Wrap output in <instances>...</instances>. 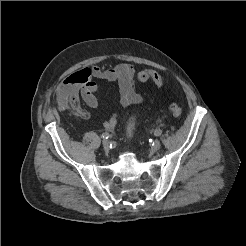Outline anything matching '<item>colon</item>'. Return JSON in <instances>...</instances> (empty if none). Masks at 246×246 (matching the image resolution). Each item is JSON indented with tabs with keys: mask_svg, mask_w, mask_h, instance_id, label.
<instances>
[{
	"mask_svg": "<svg viewBox=\"0 0 246 246\" xmlns=\"http://www.w3.org/2000/svg\"><path fill=\"white\" fill-rule=\"evenodd\" d=\"M137 79L139 82H142V83L151 81L156 86H159V87L163 85V78L161 77V75L157 73L155 70H151V69L140 70L137 73ZM169 112L173 117L177 118L182 114V107L180 104L173 102L169 106ZM133 121H134V118H131L130 121L128 122V125H127L128 135H130L133 131V127H134Z\"/></svg>",
	"mask_w": 246,
	"mask_h": 246,
	"instance_id": "5ec220e1",
	"label": "colon"
}]
</instances>
